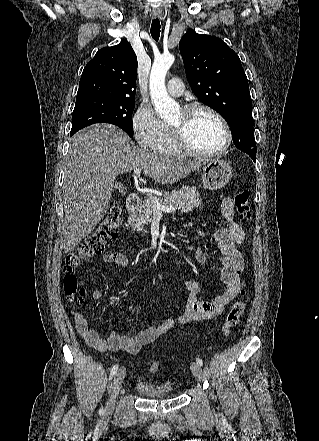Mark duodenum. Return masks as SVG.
Returning a JSON list of instances; mask_svg holds the SVG:
<instances>
[{
	"instance_id": "duodenum-1",
	"label": "duodenum",
	"mask_w": 319,
	"mask_h": 441,
	"mask_svg": "<svg viewBox=\"0 0 319 441\" xmlns=\"http://www.w3.org/2000/svg\"><path fill=\"white\" fill-rule=\"evenodd\" d=\"M140 196L137 193H131L126 199V210L131 211L140 203Z\"/></svg>"
}]
</instances>
